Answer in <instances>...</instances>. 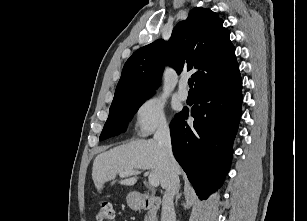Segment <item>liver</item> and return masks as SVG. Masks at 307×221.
<instances>
[{"label": "liver", "instance_id": "obj_1", "mask_svg": "<svg viewBox=\"0 0 307 221\" xmlns=\"http://www.w3.org/2000/svg\"><path fill=\"white\" fill-rule=\"evenodd\" d=\"M138 169H150L159 179L162 188L167 187L169 180L167 159L154 139L135 140L98 154L93 162L92 179L100 192L104 184L114 180L118 174ZM177 172L181 173L179 165ZM137 179L134 176L123 179L119 183L133 186Z\"/></svg>", "mask_w": 307, "mask_h": 221}]
</instances>
